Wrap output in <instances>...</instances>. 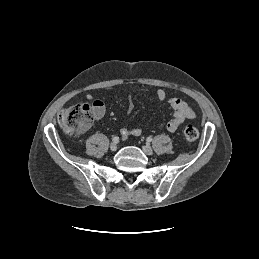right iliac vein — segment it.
<instances>
[{
	"instance_id": "obj_1",
	"label": "right iliac vein",
	"mask_w": 259,
	"mask_h": 259,
	"mask_svg": "<svg viewBox=\"0 0 259 259\" xmlns=\"http://www.w3.org/2000/svg\"><path fill=\"white\" fill-rule=\"evenodd\" d=\"M110 150L111 151H116L117 150V144L116 143H111L110 144Z\"/></svg>"
}]
</instances>
